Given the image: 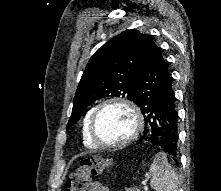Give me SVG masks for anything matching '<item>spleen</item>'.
Masks as SVG:
<instances>
[{"label": "spleen", "mask_w": 221, "mask_h": 191, "mask_svg": "<svg viewBox=\"0 0 221 191\" xmlns=\"http://www.w3.org/2000/svg\"><path fill=\"white\" fill-rule=\"evenodd\" d=\"M150 186L155 191H178V177L162 152L156 154L150 169Z\"/></svg>", "instance_id": "1"}]
</instances>
